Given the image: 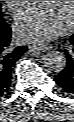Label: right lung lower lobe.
I'll use <instances>...</instances> for the list:
<instances>
[{"mask_svg": "<svg viewBox=\"0 0 74 122\" xmlns=\"http://www.w3.org/2000/svg\"><path fill=\"white\" fill-rule=\"evenodd\" d=\"M11 28L0 20V96L8 93L12 67L28 50L26 46L13 48L11 45Z\"/></svg>", "mask_w": 74, "mask_h": 122, "instance_id": "right-lung-lower-lobe-1", "label": "right lung lower lobe"}]
</instances>
